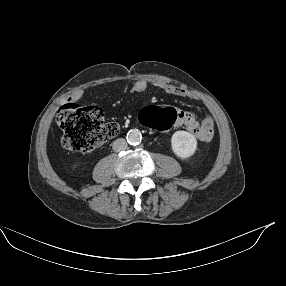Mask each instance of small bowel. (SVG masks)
<instances>
[{"label": "small bowel", "mask_w": 286, "mask_h": 286, "mask_svg": "<svg viewBox=\"0 0 286 286\" xmlns=\"http://www.w3.org/2000/svg\"><path fill=\"white\" fill-rule=\"evenodd\" d=\"M158 87L164 92L184 98L198 99V95L191 90L174 84H159ZM148 89V84L144 80L134 82L130 87V92L141 93ZM173 109V108H172ZM177 115V121L174 127H184L190 131L197 140L209 142L214 135V118L212 115H206L202 121H198L195 116L187 111L173 109Z\"/></svg>", "instance_id": "c3829d8e"}]
</instances>
